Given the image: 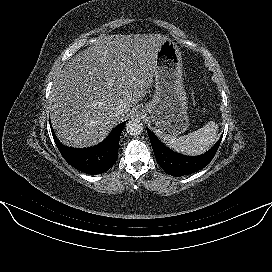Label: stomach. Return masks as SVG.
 I'll use <instances>...</instances> for the list:
<instances>
[{
  "label": "stomach",
  "instance_id": "stomach-1",
  "mask_svg": "<svg viewBox=\"0 0 272 272\" xmlns=\"http://www.w3.org/2000/svg\"><path fill=\"white\" fill-rule=\"evenodd\" d=\"M182 56L177 44L167 39L157 53L156 91L145 106L150 118L164 136H175L187 130L188 98L183 85Z\"/></svg>",
  "mask_w": 272,
  "mask_h": 272
}]
</instances>
